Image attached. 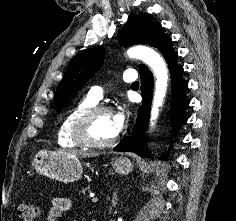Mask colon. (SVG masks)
Masks as SVG:
<instances>
[{"label": "colon", "instance_id": "colon-1", "mask_svg": "<svg viewBox=\"0 0 236 221\" xmlns=\"http://www.w3.org/2000/svg\"><path fill=\"white\" fill-rule=\"evenodd\" d=\"M37 215H38V208L30 202H24L18 206L17 209L18 221H35Z\"/></svg>", "mask_w": 236, "mask_h": 221}]
</instances>
